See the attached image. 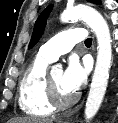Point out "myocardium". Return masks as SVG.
Returning <instances> with one entry per match:
<instances>
[{
  "mask_svg": "<svg viewBox=\"0 0 118 123\" xmlns=\"http://www.w3.org/2000/svg\"><path fill=\"white\" fill-rule=\"evenodd\" d=\"M45 84L48 102L54 108V110L67 109L77 102L79 97L77 93H73V95L66 99H63L59 96L58 91L52 82L51 75L47 74Z\"/></svg>",
  "mask_w": 118,
  "mask_h": 123,
  "instance_id": "myocardium-1",
  "label": "myocardium"
}]
</instances>
